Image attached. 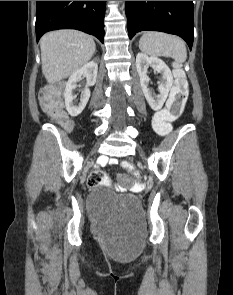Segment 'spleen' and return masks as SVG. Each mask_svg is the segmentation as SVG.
Listing matches in <instances>:
<instances>
[{
    "label": "spleen",
    "instance_id": "obj_1",
    "mask_svg": "<svg viewBox=\"0 0 233 295\" xmlns=\"http://www.w3.org/2000/svg\"><path fill=\"white\" fill-rule=\"evenodd\" d=\"M139 48L150 56L172 57L181 63L187 58L185 42L178 36L149 31L139 40Z\"/></svg>",
    "mask_w": 233,
    "mask_h": 295
}]
</instances>
